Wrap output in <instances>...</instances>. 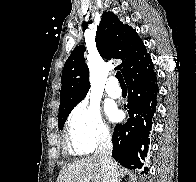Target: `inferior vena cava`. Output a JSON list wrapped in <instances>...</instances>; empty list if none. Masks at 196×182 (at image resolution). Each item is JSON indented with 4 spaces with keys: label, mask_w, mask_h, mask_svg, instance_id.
Returning a JSON list of instances; mask_svg holds the SVG:
<instances>
[{
    "label": "inferior vena cava",
    "mask_w": 196,
    "mask_h": 182,
    "mask_svg": "<svg viewBox=\"0 0 196 182\" xmlns=\"http://www.w3.org/2000/svg\"><path fill=\"white\" fill-rule=\"evenodd\" d=\"M112 141L108 133L101 135L94 156L100 161L104 182H118L117 165L112 160Z\"/></svg>",
    "instance_id": "obj_1"
}]
</instances>
